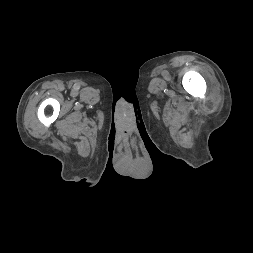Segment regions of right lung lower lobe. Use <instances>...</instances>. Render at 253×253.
<instances>
[{
	"mask_svg": "<svg viewBox=\"0 0 253 253\" xmlns=\"http://www.w3.org/2000/svg\"><path fill=\"white\" fill-rule=\"evenodd\" d=\"M152 152H159V150L154 146L153 148H152Z\"/></svg>",
	"mask_w": 253,
	"mask_h": 253,
	"instance_id": "98d812e1",
	"label": "right lung lower lobe"
}]
</instances>
